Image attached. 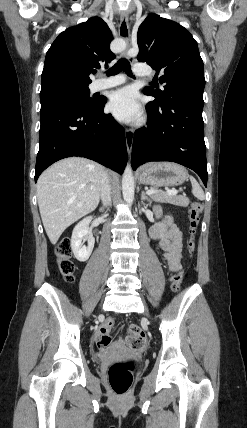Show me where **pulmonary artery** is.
Segmentation results:
<instances>
[{
	"label": "pulmonary artery",
	"mask_w": 247,
	"mask_h": 428,
	"mask_svg": "<svg viewBox=\"0 0 247 428\" xmlns=\"http://www.w3.org/2000/svg\"><path fill=\"white\" fill-rule=\"evenodd\" d=\"M134 73L137 76H149L151 75V70L148 66L144 64H135ZM125 82V78L123 76H113L107 79H100L94 84L95 90H102L106 88H111L118 86Z\"/></svg>",
	"instance_id": "1"
}]
</instances>
